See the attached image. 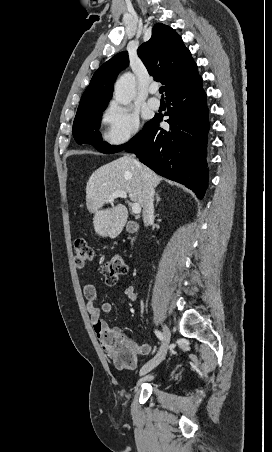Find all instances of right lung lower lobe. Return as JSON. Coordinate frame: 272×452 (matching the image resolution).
<instances>
[{
	"label": "right lung lower lobe",
	"mask_w": 272,
	"mask_h": 452,
	"mask_svg": "<svg viewBox=\"0 0 272 452\" xmlns=\"http://www.w3.org/2000/svg\"><path fill=\"white\" fill-rule=\"evenodd\" d=\"M170 130L160 129L155 116L127 152L157 174L179 182L202 199L208 186L206 141L209 131L206 94L198 76L166 96Z\"/></svg>",
	"instance_id": "1"
}]
</instances>
